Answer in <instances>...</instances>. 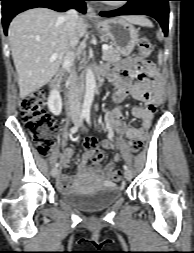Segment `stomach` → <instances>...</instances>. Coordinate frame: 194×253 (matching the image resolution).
I'll use <instances>...</instances> for the list:
<instances>
[{"mask_svg": "<svg viewBox=\"0 0 194 253\" xmlns=\"http://www.w3.org/2000/svg\"><path fill=\"white\" fill-rule=\"evenodd\" d=\"M95 27L108 39L123 56H128L137 43L138 31L123 17L106 19L95 23Z\"/></svg>", "mask_w": 194, "mask_h": 253, "instance_id": "obj_1", "label": "stomach"}]
</instances>
